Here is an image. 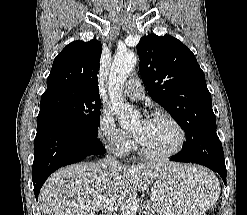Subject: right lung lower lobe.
I'll list each match as a JSON object with an SVG mask.
<instances>
[{
    "label": "right lung lower lobe",
    "mask_w": 247,
    "mask_h": 215,
    "mask_svg": "<svg viewBox=\"0 0 247 215\" xmlns=\"http://www.w3.org/2000/svg\"><path fill=\"white\" fill-rule=\"evenodd\" d=\"M105 148L92 134L82 127L56 120L37 122L32 166L34 194L38 200L40 189L56 169L103 155Z\"/></svg>",
    "instance_id": "obj_1"
}]
</instances>
